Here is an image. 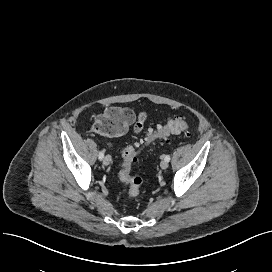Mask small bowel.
I'll use <instances>...</instances> for the list:
<instances>
[{"mask_svg": "<svg viewBox=\"0 0 272 272\" xmlns=\"http://www.w3.org/2000/svg\"><path fill=\"white\" fill-rule=\"evenodd\" d=\"M129 113H130V115H131V120H130V124L135 120V115H134V113L132 112V111H130V110H128V109H126ZM139 121H142L143 122V124H144V121H145V115L144 114H140L139 116H138V118H137V123L139 122ZM143 129V128H142ZM107 147L108 148H112V144L110 143V142H107Z\"/></svg>", "mask_w": 272, "mask_h": 272, "instance_id": "1", "label": "small bowel"}]
</instances>
